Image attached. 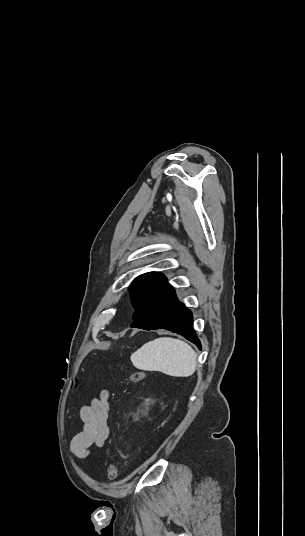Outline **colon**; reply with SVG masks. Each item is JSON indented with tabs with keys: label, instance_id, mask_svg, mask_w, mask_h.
Wrapping results in <instances>:
<instances>
[{
	"label": "colon",
	"instance_id": "5ec220e1",
	"mask_svg": "<svg viewBox=\"0 0 305 536\" xmlns=\"http://www.w3.org/2000/svg\"><path fill=\"white\" fill-rule=\"evenodd\" d=\"M143 380V373L140 370H136L130 374V381L133 384L140 383ZM107 474L110 480L117 478V467L115 463H110L108 466Z\"/></svg>",
	"mask_w": 305,
	"mask_h": 536
}]
</instances>
